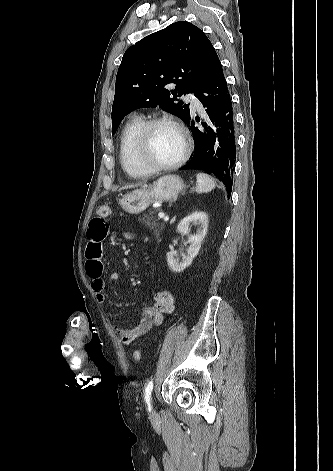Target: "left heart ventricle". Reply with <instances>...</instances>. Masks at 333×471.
I'll return each instance as SVG.
<instances>
[{"instance_id": "1", "label": "left heart ventricle", "mask_w": 333, "mask_h": 471, "mask_svg": "<svg viewBox=\"0 0 333 471\" xmlns=\"http://www.w3.org/2000/svg\"><path fill=\"white\" fill-rule=\"evenodd\" d=\"M182 140L175 128L159 125L151 133L150 155L153 161L167 164L174 161L181 153Z\"/></svg>"}]
</instances>
